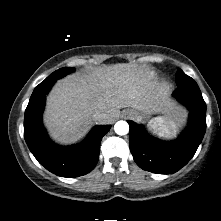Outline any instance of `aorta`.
I'll return each instance as SVG.
<instances>
[{
	"instance_id": "obj_1",
	"label": "aorta",
	"mask_w": 221,
	"mask_h": 221,
	"mask_svg": "<svg viewBox=\"0 0 221 221\" xmlns=\"http://www.w3.org/2000/svg\"><path fill=\"white\" fill-rule=\"evenodd\" d=\"M114 130L118 135H126L129 132V125L126 121H118L114 125Z\"/></svg>"
}]
</instances>
